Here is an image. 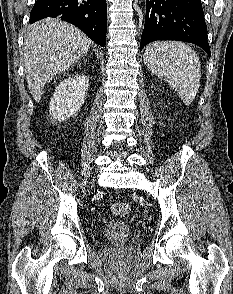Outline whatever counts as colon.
Returning a JSON list of instances; mask_svg holds the SVG:
<instances>
[{
	"label": "colon",
	"instance_id": "1",
	"mask_svg": "<svg viewBox=\"0 0 233 294\" xmlns=\"http://www.w3.org/2000/svg\"><path fill=\"white\" fill-rule=\"evenodd\" d=\"M130 212V205L125 202H118L111 206V213L114 216H124Z\"/></svg>",
	"mask_w": 233,
	"mask_h": 294
}]
</instances>
